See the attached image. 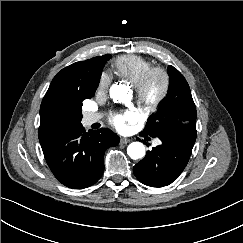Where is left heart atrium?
Masks as SVG:
<instances>
[{"instance_id": "39dd6f15", "label": "left heart atrium", "mask_w": 243, "mask_h": 243, "mask_svg": "<svg viewBox=\"0 0 243 243\" xmlns=\"http://www.w3.org/2000/svg\"><path fill=\"white\" fill-rule=\"evenodd\" d=\"M137 118L134 111H126L112 118L111 123L120 131H123L127 122H133Z\"/></svg>"}]
</instances>
